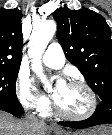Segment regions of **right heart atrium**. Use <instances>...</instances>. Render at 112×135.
Returning a JSON list of instances; mask_svg holds the SVG:
<instances>
[{
  "instance_id": "right-heart-atrium-1",
  "label": "right heart atrium",
  "mask_w": 112,
  "mask_h": 135,
  "mask_svg": "<svg viewBox=\"0 0 112 135\" xmlns=\"http://www.w3.org/2000/svg\"><path fill=\"white\" fill-rule=\"evenodd\" d=\"M16 97L20 104L30 111H44L49 100L30 81L29 77L20 73L15 84Z\"/></svg>"
}]
</instances>
